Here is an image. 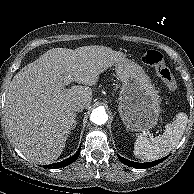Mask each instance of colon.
Instances as JSON below:
<instances>
[{
	"mask_svg": "<svg viewBox=\"0 0 194 194\" xmlns=\"http://www.w3.org/2000/svg\"><path fill=\"white\" fill-rule=\"evenodd\" d=\"M142 60L145 64L155 68L157 75L164 82L170 92L174 93L177 91V80L169 67L165 64L160 52L156 50H148L143 54Z\"/></svg>",
	"mask_w": 194,
	"mask_h": 194,
	"instance_id": "1",
	"label": "colon"
}]
</instances>
